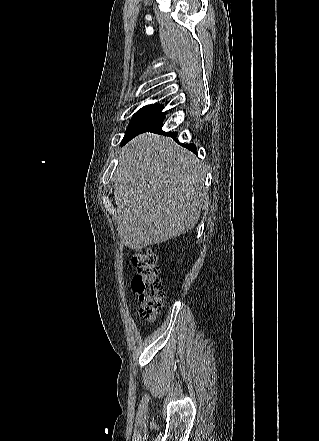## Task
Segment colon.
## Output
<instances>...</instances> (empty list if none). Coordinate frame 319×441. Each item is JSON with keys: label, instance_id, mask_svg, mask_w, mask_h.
<instances>
[{"label": "colon", "instance_id": "obj_1", "mask_svg": "<svg viewBox=\"0 0 319 441\" xmlns=\"http://www.w3.org/2000/svg\"><path fill=\"white\" fill-rule=\"evenodd\" d=\"M136 275L132 289L137 295L141 317L153 322L164 305V292L158 278L157 257L152 250H138L132 256Z\"/></svg>", "mask_w": 319, "mask_h": 441}]
</instances>
